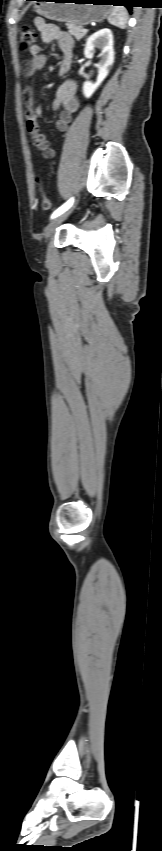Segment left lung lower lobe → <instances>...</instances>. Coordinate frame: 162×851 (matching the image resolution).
<instances>
[{
    "instance_id": "obj_1",
    "label": "left lung lower lobe",
    "mask_w": 162,
    "mask_h": 851,
    "mask_svg": "<svg viewBox=\"0 0 162 851\" xmlns=\"http://www.w3.org/2000/svg\"><path fill=\"white\" fill-rule=\"evenodd\" d=\"M30 1H32V0H30ZM103 1H104V3H111L113 5L126 6L129 10H131V7H132V5L128 2V0H103Z\"/></svg>"
}]
</instances>
